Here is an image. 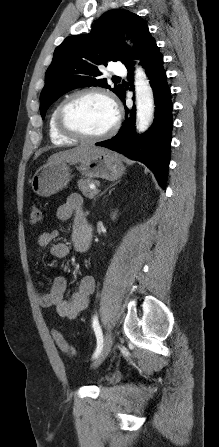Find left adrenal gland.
Here are the masks:
<instances>
[{"label":"left adrenal gland","instance_id":"left-adrenal-gland-1","mask_svg":"<svg viewBox=\"0 0 219 447\" xmlns=\"http://www.w3.org/2000/svg\"><path fill=\"white\" fill-rule=\"evenodd\" d=\"M119 182H120V181H117L116 183L110 185L104 192H102V193L100 194V196L103 195L109 188L115 186V185H116L117 183H119Z\"/></svg>","mask_w":219,"mask_h":447}]
</instances>
